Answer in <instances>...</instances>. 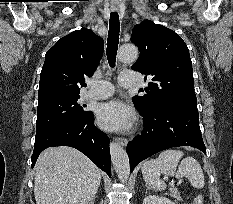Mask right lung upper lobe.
<instances>
[{"label": "right lung upper lobe", "instance_id": "obj_1", "mask_svg": "<svg viewBox=\"0 0 233 204\" xmlns=\"http://www.w3.org/2000/svg\"><path fill=\"white\" fill-rule=\"evenodd\" d=\"M104 49L103 39L82 28L61 38L45 55L38 100L79 95L92 76Z\"/></svg>", "mask_w": 233, "mask_h": 204}]
</instances>
